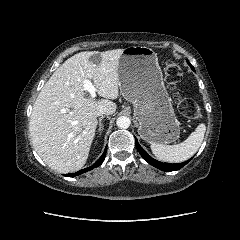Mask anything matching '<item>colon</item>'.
Instances as JSON below:
<instances>
[{"instance_id": "5ec220e1", "label": "colon", "mask_w": 240, "mask_h": 240, "mask_svg": "<svg viewBox=\"0 0 240 240\" xmlns=\"http://www.w3.org/2000/svg\"><path fill=\"white\" fill-rule=\"evenodd\" d=\"M165 79L168 87L174 90L182 78V68L180 64L172 59H169L165 64ZM175 100L179 112L192 120H197L201 117L200 107L191 99L175 94Z\"/></svg>"}]
</instances>
